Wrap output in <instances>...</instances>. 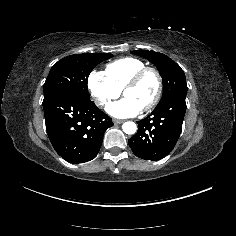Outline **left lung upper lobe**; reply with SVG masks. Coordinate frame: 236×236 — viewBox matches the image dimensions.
<instances>
[{
    "instance_id": "obj_1",
    "label": "left lung upper lobe",
    "mask_w": 236,
    "mask_h": 236,
    "mask_svg": "<svg viewBox=\"0 0 236 236\" xmlns=\"http://www.w3.org/2000/svg\"><path fill=\"white\" fill-rule=\"evenodd\" d=\"M132 53L146 58L159 70L163 82V95L158 104L174 95L187 94L185 74L181 67L168 56L148 50H137Z\"/></svg>"
}]
</instances>
